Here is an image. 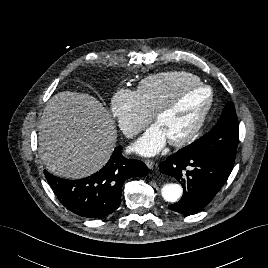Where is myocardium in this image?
<instances>
[{"label":"myocardium","instance_id":"1","mask_svg":"<svg viewBox=\"0 0 268 268\" xmlns=\"http://www.w3.org/2000/svg\"><path fill=\"white\" fill-rule=\"evenodd\" d=\"M194 88L207 90L208 92L207 100L203 104L193 126L180 138L168 140L169 144L172 146H175V147L185 146L189 144L190 142H192L195 139V137L198 135L213 105L214 94H213L212 89L202 82L189 83V84L183 85L179 87L177 91L153 114V119L157 123L163 116L168 114L177 106L180 100V95L183 92L189 89H194Z\"/></svg>","mask_w":268,"mask_h":268}]
</instances>
